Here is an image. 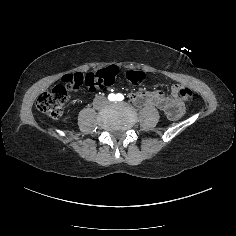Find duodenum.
<instances>
[{"instance_id":"1","label":"duodenum","mask_w":236,"mask_h":236,"mask_svg":"<svg viewBox=\"0 0 236 236\" xmlns=\"http://www.w3.org/2000/svg\"><path fill=\"white\" fill-rule=\"evenodd\" d=\"M133 101L139 106L154 104L163 110L171 119L176 118L183 111V106L178 100L162 97L155 93H137L133 96Z\"/></svg>"}]
</instances>
